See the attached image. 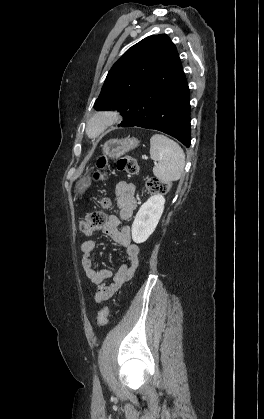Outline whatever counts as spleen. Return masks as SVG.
<instances>
[{"instance_id": "3e777b00", "label": "spleen", "mask_w": 264, "mask_h": 419, "mask_svg": "<svg viewBox=\"0 0 264 419\" xmlns=\"http://www.w3.org/2000/svg\"><path fill=\"white\" fill-rule=\"evenodd\" d=\"M150 156L157 163L153 174L162 182L179 180L185 166L183 149L174 140L153 134L150 139Z\"/></svg>"}]
</instances>
